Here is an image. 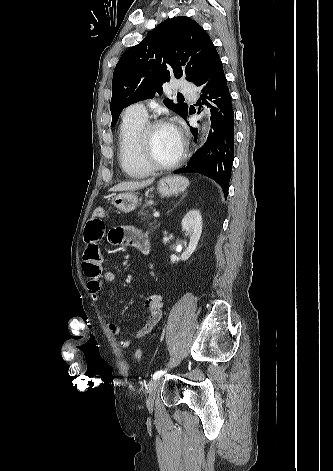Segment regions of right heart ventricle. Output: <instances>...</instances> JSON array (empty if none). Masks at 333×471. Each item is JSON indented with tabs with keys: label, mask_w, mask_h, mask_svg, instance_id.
<instances>
[{
	"label": "right heart ventricle",
	"mask_w": 333,
	"mask_h": 471,
	"mask_svg": "<svg viewBox=\"0 0 333 471\" xmlns=\"http://www.w3.org/2000/svg\"><path fill=\"white\" fill-rule=\"evenodd\" d=\"M147 120L124 115L118 132V160L123 172L135 179L150 175L153 169L141 157L138 141Z\"/></svg>",
	"instance_id": "obj_1"
}]
</instances>
